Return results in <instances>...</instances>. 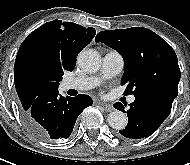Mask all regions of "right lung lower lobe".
Listing matches in <instances>:
<instances>
[{"mask_svg": "<svg viewBox=\"0 0 190 165\" xmlns=\"http://www.w3.org/2000/svg\"><path fill=\"white\" fill-rule=\"evenodd\" d=\"M88 95L63 97L58 89L41 93L28 109H21L23 121L39 138L50 141L68 138L82 111L92 105Z\"/></svg>", "mask_w": 190, "mask_h": 165, "instance_id": "obj_1", "label": "right lung lower lobe"}]
</instances>
